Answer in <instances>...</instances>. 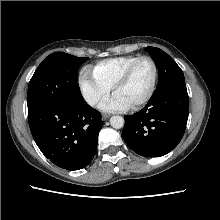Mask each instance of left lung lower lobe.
Here are the masks:
<instances>
[{"label":"left lung lower lobe","instance_id":"0a47b994","mask_svg":"<svg viewBox=\"0 0 220 220\" xmlns=\"http://www.w3.org/2000/svg\"><path fill=\"white\" fill-rule=\"evenodd\" d=\"M189 100L185 82L156 91L146 106L126 115L122 137L137 154L159 157L181 141L188 119Z\"/></svg>","mask_w":220,"mask_h":220}]
</instances>
